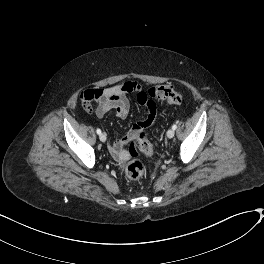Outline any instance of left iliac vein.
Returning <instances> with one entry per match:
<instances>
[{"label":"left iliac vein","instance_id":"left-iliac-vein-1","mask_svg":"<svg viewBox=\"0 0 264 264\" xmlns=\"http://www.w3.org/2000/svg\"><path fill=\"white\" fill-rule=\"evenodd\" d=\"M174 135H175V131H174V129H169V130L167 131V137H168V138H173Z\"/></svg>","mask_w":264,"mask_h":264}]
</instances>
